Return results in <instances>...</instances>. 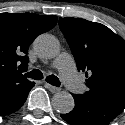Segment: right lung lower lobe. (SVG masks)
Segmentation results:
<instances>
[{
  "instance_id": "98d812e1",
  "label": "right lung lower lobe",
  "mask_w": 125,
  "mask_h": 125,
  "mask_svg": "<svg viewBox=\"0 0 125 125\" xmlns=\"http://www.w3.org/2000/svg\"><path fill=\"white\" fill-rule=\"evenodd\" d=\"M34 82L12 83L0 89V116L11 114L22 107Z\"/></svg>"
}]
</instances>
